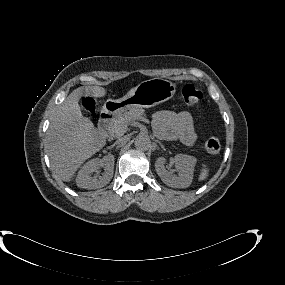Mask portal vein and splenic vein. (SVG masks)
Listing matches in <instances>:
<instances>
[{
    "instance_id": "portal-vein-and-splenic-vein-1",
    "label": "portal vein and splenic vein",
    "mask_w": 285,
    "mask_h": 285,
    "mask_svg": "<svg viewBox=\"0 0 285 285\" xmlns=\"http://www.w3.org/2000/svg\"><path fill=\"white\" fill-rule=\"evenodd\" d=\"M138 120H141V121L147 122V119H146V118H144V117H140V118H138Z\"/></svg>"
}]
</instances>
